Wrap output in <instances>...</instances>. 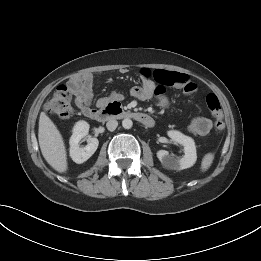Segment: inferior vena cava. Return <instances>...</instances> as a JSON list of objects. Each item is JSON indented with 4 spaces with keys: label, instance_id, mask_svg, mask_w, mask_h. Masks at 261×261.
Returning <instances> with one entry per match:
<instances>
[{
    "label": "inferior vena cava",
    "instance_id": "1",
    "mask_svg": "<svg viewBox=\"0 0 261 261\" xmlns=\"http://www.w3.org/2000/svg\"><path fill=\"white\" fill-rule=\"evenodd\" d=\"M118 126V122L115 119H110L106 123V127L109 131H114Z\"/></svg>",
    "mask_w": 261,
    "mask_h": 261
}]
</instances>
